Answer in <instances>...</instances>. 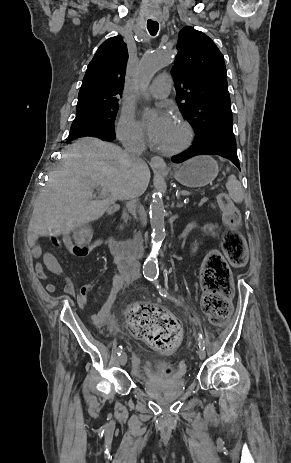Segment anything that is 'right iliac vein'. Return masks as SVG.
Listing matches in <instances>:
<instances>
[{
	"instance_id": "obj_1",
	"label": "right iliac vein",
	"mask_w": 291,
	"mask_h": 463,
	"mask_svg": "<svg viewBox=\"0 0 291 463\" xmlns=\"http://www.w3.org/2000/svg\"><path fill=\"white\" fill-rule=\"evenodd\" d=\"M119 363L124 366L127 363V355L125 352H122L118 357Z\"/></svg>"
}]
</instances>
